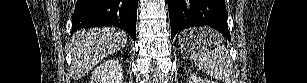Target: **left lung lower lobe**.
<instances>
[{
    "label": "left lung lower lobe",
    "instance_id": "left-lung-lower-lobe-1",
    "mask_svg": "<svg viewBox=\"0 0 307 83\" xmlns=\"http://www.w3.org/2000/svg\"><path fill=\"white\" fill-rule=\"evenodd\" d=\"M171 38L189 27L208 25L230 40L224 0H167Z\"/></svg>",
    "mask_w": 307,
    "mask_h": 83
}]
</instances>
